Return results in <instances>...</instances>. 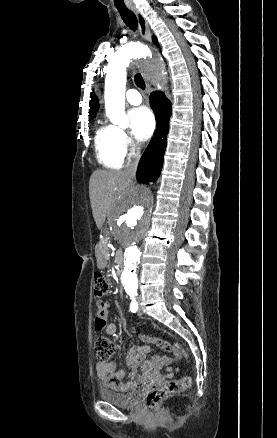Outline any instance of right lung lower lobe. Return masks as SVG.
<instances>
[{
	"label": "right lung lower lobe",
	"mask_w": 277,
	"mask_h": 438,
	"mask_svg": "<svg viewBox=\"0 0 277 438\" xmlns=\"http://www.w3.org/2000/svg\"><path fill=\"white\" fill-rule=\"evenodd\" d=\"M150 101L156 115L157 129L140 159L136 174L137 180L146 184L155 182L161 173L172 112L171 102L162 92L151 93Z\"/></svg>",
	"instance_id": "98d812e1"
}]
</instances>
